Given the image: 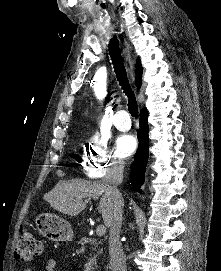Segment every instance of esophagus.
<instances>
[{
  "label": "esophagus",
  "instance_id": "obj_1",
  "mask_svg": "<svg viewBox=\"0 0 221 271\" xmlns=\"http://www.w3.org/2000/svg\"><path fill=\"white\" fill-rule=\"evenodd\" d=\"M124 47H125L126 51L129 50V45H128V43L126 41L124 42ZM128 69H129V73H130L131 78H133V68H132V62L131 61H129Z\"/></svg>",
  "mask_w": 221,
  "mask_h": 271
}]
</instances>
